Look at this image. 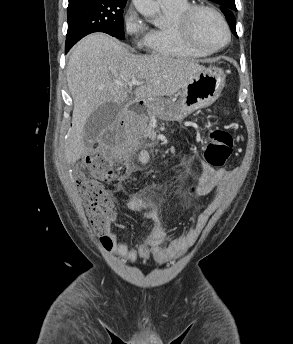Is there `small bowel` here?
I'll use <instances>...</instances> for the list:
<instances>
[{"label":"small bowel","instance_id":"small-bowel-1","mask_svg":"<svg viewBox=\"0 0 293 344\" xmlns=\"http://www.w3.org/2000/svg\"><path fill=\"white\" fill-rule=\"evenodd\" d=\"M143 157L146 158L147 156L144 154ZM234 176L233 171L214 169L206 162L202 163V174L196 184V192L199 195H207L220 185L223 186V189L197 214L194 225L178 236L170 237L167 235L157 207L144 204L138 196H130L126 203L128 208L144 211L152 221L153 227L139 245L130 246L126 241L117 238L112 228L119 227V225L110 221L100 238L102 247L106 252L112 253L129 263L134 262L137 258L147 260L150 257H153L159 264L171 262L182 256L196 242L209 217L221 204Z\"/></svg>","mask_w":293,"mask_h":344}]
</instances>
